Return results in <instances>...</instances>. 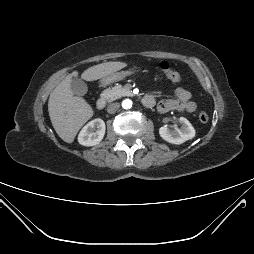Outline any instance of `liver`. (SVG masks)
Returning <instances> with one entry per match:
<instances>
[{
  "instance_id": "6515ba94",
  "label": "liver",
  "mask_w": 254,
  "mask_h": 254,
  "mask_svg": "<svg viewBox=\"0 0 254 254\" xmlns=\"http://www.w3.org/2000/svg\"><path fill=\"white\" fill-rule=\"evenodd\" d=\"M125 62H105L85 70L81 78L95 81L111 75L126 67ZM77 72L68 75L52 91L48 101V111L52 125L59 137L67 143H72L80 128L93 116L92 107L81 97L74 96L71 89L72 77Z\"/></svg>"
}]
</instances>
